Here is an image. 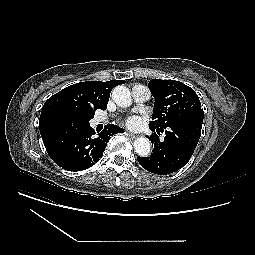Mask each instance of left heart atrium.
I'll use <instances>...</instances> for the list:
<instances>
[{"label":"left heart atrium","mask_w":255,"mask_h":255,"mask_svg":"<svg viewBox=\"0 0 255 255\" xmlns=\"http://www.w3.org/2000/svg\"><path fill=\"white\" fill-rule=\"evenodd\" d=\"M128 124H129V125H134V124H135V119H134V118L129 119V120H128Z\"/></svg>","instance_id":"left-heart-atrium-1"}]
</instances>
